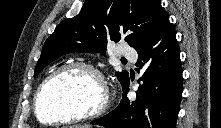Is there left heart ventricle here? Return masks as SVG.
Returning <instances> with one entry per match:
<instances>
[{
    "instance_id": "b2bd125f",
    "label": "left heart ventricle",
    "mask_w": 221,
    "mask_h": 128,
    "mask_svg": "<svg viewBox=\"0 0 221 128\" xmlns=\"http://www.w3.org/2000/svg\"><path fill=\"white\" fill-rule=\"evenodd\" d=\"M100 92L91 73L81 69L68 71L45 87L39 102L40 116L49 121L91 109L99 100Z\"/></svg>"
}]
</instances>
